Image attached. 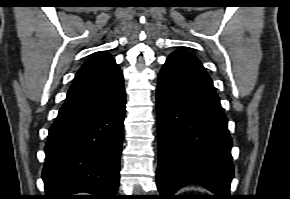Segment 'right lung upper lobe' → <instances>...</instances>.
<instances>
[{
	"mask_svg": "<svg viewBox=\"0 0 290 199\" xmlns=\"http://www.w3.org/2000/svg\"><path fill=\"white\" fill-rule=\"evenodd\" d=\"M122 78L115 59L109 53L98 52L78 70L66 100L97 93L113 86Z\"/></svg>",
	"mask_w": 290,
	"mask_h": 199,
	"instance_id": "cb5924a9",
	"label": "right lung upper lobe"
}]
</instances>
